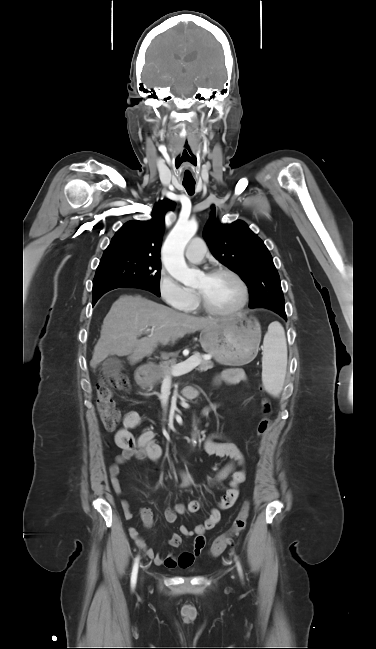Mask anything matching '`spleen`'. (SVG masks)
Masks as SVG:
<instances>
[{
	"label": "spleen",
	"instance_id": "obj_1",
	"mask_svg": "<svg viewBox=\"0 0 376 649\" xmlns=\"http://www.w3.org/2000/svg\"><path fill=\"white\" fill-rule=\"evenodd\" d=\"M262 382L273 396H279L283 389L286 366L287 344L284 329L278 322L272 323L263 341Z\"/></svg>",
	"mask_w": 376,
	"mask_h": 649
}]
</instances>
